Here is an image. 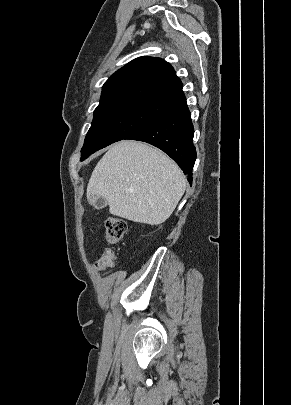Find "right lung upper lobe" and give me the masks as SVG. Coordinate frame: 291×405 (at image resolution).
I'll list each match as a JSON object with an SVG mask.
<instances>
[{
  "label": "right lung upper lobe",
  "instance_id": "right-lung-upper-lobe-1",
  "mask_svg": "<svg viewBox=\"0 0 291 405\" xmlns=\"http://www.w3.org/2000/svg\"><path fill=\"white\" fill-rule=\"evenodd\" d=\"M183 84L161 58L139 57L116 71L102 88L100 104L146 99L171 105L181 98Z\"/></svg>",
  "mask_w": 291,
  "mask_h": 405
}]
</instances>
